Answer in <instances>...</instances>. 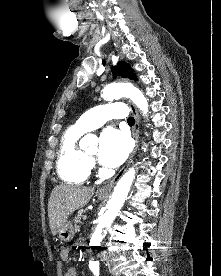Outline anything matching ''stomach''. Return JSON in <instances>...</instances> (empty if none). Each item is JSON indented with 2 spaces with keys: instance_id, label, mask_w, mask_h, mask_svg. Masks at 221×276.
Masks as SVG:
<instances>
[{
  "instance_id": "stomach-1",
  "label": "stomach",
  "mask_w": 221,
  "mask_h": 276,
  "mask_svg": "<svg viewBox=\"0 0 221 276\" xmlns=\"http://www.w3.org/2000/svg\"><path fill=\"white\" fill-rule=\"evenodd\" d=\"M98 198L103 200L106 198V195L98 194ZM75 234L74 228L70 221H66L58 231L59 239L62 242H69L73 239Z\"/></svg>"
}]
</instances>
